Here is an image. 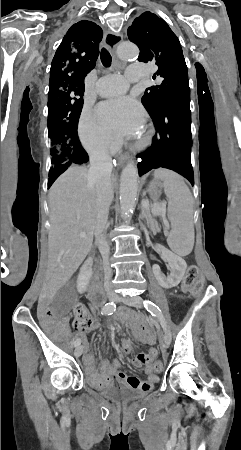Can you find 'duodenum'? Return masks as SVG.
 <instances>
[{
    "label": "duodenum",
    "instance_id": "1",
    "mask_svg": "<svg viewBox=\"0 0 241 450\" xmlns=\"http://www.w3.org/2000/svg\"><path fill=\"white\" fill-rule=\"evenodd\" d=\"M90 296L95 302H101L104 292L98 279H94L91 286Z\"/></svg>",
    "mask_w": 241,
    "mask_h": 450
}]
</instances>
